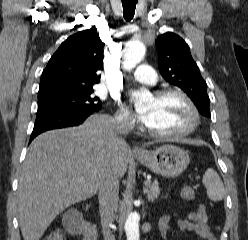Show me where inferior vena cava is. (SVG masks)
Returning <instances> with one entry per match:
<instances>
[{
  "label": "inferior vena cava",
  "instance_id": "inferior-vena-cava-1",
  "mask_svg": "<svg viewBox=\"0 0 248 240\" xmlns=\"http://www.w3.org/2000/svg\"><path fill=\"white\" fill-rule=\"evenodd\" d=\"M132 125L129 119L114 120L112 127V140L118 142L121 135H127ZM119 177L112 169L107 171L99 186V211L104 240H115L110 230V225L114 221L118 207Z\"/></svg>",
  "mask_w": 248,
  "mask_h": 240
}]
</instances>
